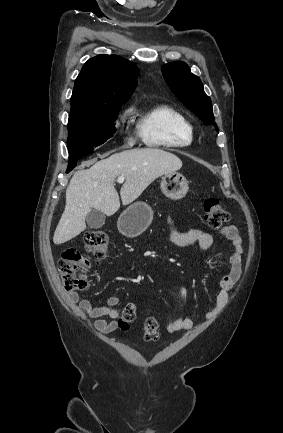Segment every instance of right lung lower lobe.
<instances>
[{
    "label": "right lung lower lobe",
    "instance_id": "98d812e1",
    "mask_svg": "<svg viewBox=\"0 0 283 433\" xmlns=\"http://www.w3.org/2000/svg\"><path fill=\"white\" fill-rule=\"evenodd\" d=\"M83 156L71 157L68 162L67 173L70 172L77 164V160Z\"/></svg>",
    "mask_w": 283,
    "mask_h": 433
}]
</instances>
